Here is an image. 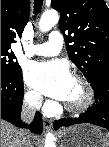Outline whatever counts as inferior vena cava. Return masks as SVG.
I'll return each mask as SVG.
<instances>
[{
	"label": "inferior vena cava",
	"mask_w": 109,
	"mask_h": 147,
	"mask_svg": "<svg viewBox=\"0 0 109 147\" xmlns=\"http://www.w3.org/2000/svg\"><path fill=\"white\" fill-rule=\"evenodd\" d=\"M42 96L40 94H35L31 97L30 102L23 106L21 112V119L25 122H31L35 116L36 107L42 104ZM25 136L23 139V147H32L31 143V136L29 131H23Z\"/></svg>",
	"instance_id": "obj_1"
}]
</instances>
